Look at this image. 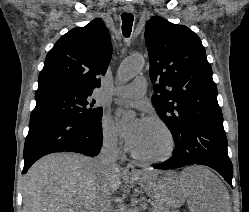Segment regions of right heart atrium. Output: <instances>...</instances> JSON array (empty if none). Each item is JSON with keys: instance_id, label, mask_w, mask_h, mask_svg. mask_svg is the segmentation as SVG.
Wrapping results in <instances>:
<instances>
[{"instance_id": "obj_1", "label": "right heart atrium", "mask_w": 249, "mask_h": 212, "mask_svg": "<svg viewBox=\"0 0 249 212\" xmlns=\"http://www.w3.org/2000/svg\"><path fill=\"white\" fill-rule=\"evenodd\" d=\"M100 134L103 145L110 151H120V139L108 115L104 114L100 121Z\"/></svg>"}]
</instances>
